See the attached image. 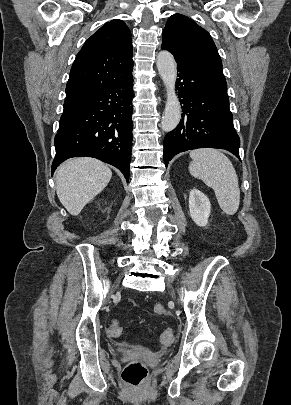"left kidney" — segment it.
I'll return each instance as SVG.
<instances>
[{
	"label": "left kidney",
	"instance_id": "5707ae66",
	"mask_svg": "<svg viewBox=\"0 0 291 405\" xmlns=\"http://www.w3.org/2000/svg\"><path fill=\"white\" fill-rule=\"evenodd\" d=\"M211 205L207 196L200 190L192 189L189 195V213L192 220L200 227L208 223Z\"/></svg>",
	"mask_w": 291,
	"mask_h": 405
}]
</instances>
